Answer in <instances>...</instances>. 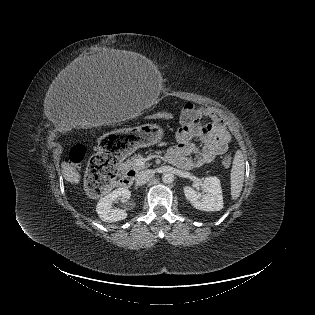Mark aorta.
<instances>
[{
    "label": "aorta",
    "instance_id": "obj_1",
    "mask_svg": "<svg viewBox=\"0 0 315 315\" xmlns=\"http://www.w3.org/2000/svg\"><path fill=\"white\" fill-rule=\"evenodd\" d=\"M162 180L166 184H170L174 181V174L172 172H165L162 175Z\"/></svg>",
    "mask_w": 315,
    "mask_h": 315
}]
</instances>
